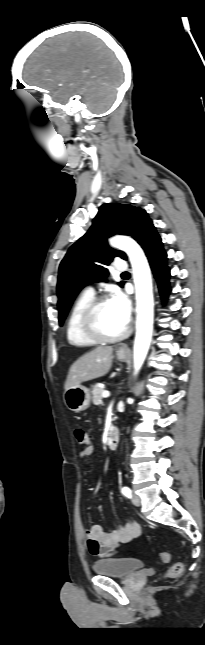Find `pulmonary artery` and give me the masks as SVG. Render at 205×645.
<instances>
[{
    "label": "pulmonary artery",
    "instance_id": "obj_1",
    "mask_svg": "<svg viewBox=\"0 0 205 645\" xmlns=\"http://www.w3.org/2000/svg\"><path fill=\"white\" fill-rule=\"evenodd\" d=\"M127 267H128L127 263L124 260H117L114 263V269L117 272H125L127 270ZM84 293L94 295L95 291H94V288L92 286H87L84 289Z\"/></svg>",
    "mask_w": 205,
    "mask_h": 645
}]
</instances>
